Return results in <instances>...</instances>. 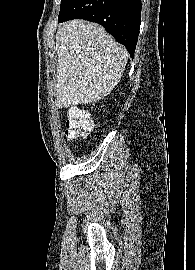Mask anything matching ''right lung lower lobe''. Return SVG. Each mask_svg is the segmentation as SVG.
<instances>
[{
  "label": "right lung lower lobe",
  "mask_w": 195,
  "mask_h": 270,
  "mask_svg": "<svg viewBox=\"0 0 195 270\" xmlns=\"http://www.w3.org/2000/svg\"><path fill=\"white\" fill-rule=\"evenodd\" d=\"M141 0H74L58 21L85 19L102 25L133 57L141 23Z\"/></svg>",
  "instance_id": "98d812e1"
}]
</instances>
